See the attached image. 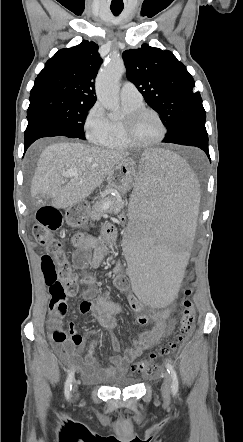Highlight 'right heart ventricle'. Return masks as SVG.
<instances>
[{
    "label": "right heart ventricle",
    "instance_id": "e07e8e85",
    "mask_svg": "<svg viewBox=\"0 0 243 442\" xmlns=\"http://www.w3.org/2000/svg\"><path fill=\"white\" fill-rule=\"evenodd\" d=\"M123 106V116L120 118H109L107 120V129L103 135L98 137L94 143L112 149H129L130 146L126 143L122 123L126 114L134 111L140 107H143V102L141 103H129L122 101Z\"/></svg>",
    "mask_w": 243,
    "mask_h": 442
}]
</instances>
